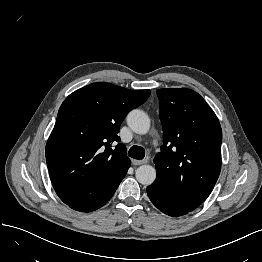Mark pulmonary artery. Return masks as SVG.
Here are the masks:
<instances>
[{"mask_svg": "<svg viewBox=\"0 0 262 262\" xmlns=\"http://www.w3.org/2000/svg\"><path fill=\"white\" fill-rule=\"evenodd\" d=\"M153 143L156 145V144H157V140H156V139H154V140H153Z\"/></svg>", "mask_w": 262, "mask_h": 262, "instance_id": "pulmonary-artery-1", "label": "pulmonary artery"}]
</instances>
